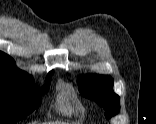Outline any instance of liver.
<instances>
[{"mask_svg":"<svg viewBox=\"0 0 156 124\" xmlns=\"http://www.w3.org/2000/svg\"><path fill=\"white\" fill-rule=\"evenodd\" d=\"M47 124H66V123L55 121V122H49V123H47Z\"/></svg>","mask_w":156,"mask_h":124,"instance_id":"6515ba94","label":"liver"}]
</instances>
